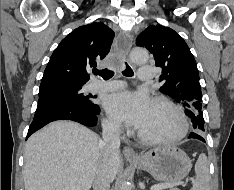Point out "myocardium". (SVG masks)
Masks as SVG:
<instances>
[{"mask_svg":"<svg viewBox=\"0 0 234 190\" xmlns=\"http://www.w3.org/2000/svg\"><path fill=\"white\" fill-rule=\"evenodd\" d=\"M153 103L156 104H162L166 107H168L170 110L174 112L176 115L178 122H179V128L176 132L168 135H158V136H150L142 133L141 131L137 132L138 138L147 144H161V143H168V142H176L181 139H183L187 132H188V121L187 117L182 110V108L176 104L174 101L171 99L165 97V96H156L153 99Z\"/></svg>","mask_w":234,"mask_h":190,"instance_id":"myocardium-1","label":"myocardium"}]
</instances>
